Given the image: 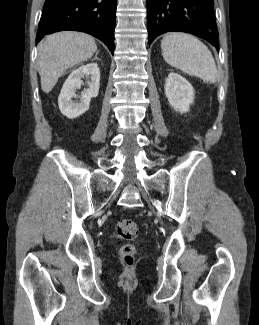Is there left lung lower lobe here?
Wrapping results in <instances>:
<instances>
[{"mask_svg":"<svg viewBox=\"0 0 259 325\" xmlns=\"http://www.w3.org/2000/svg\"><path fill=\"white\" fill-rule=\"evenodd\" d=\"M214 0H147L149 44L169 31L187 32L218 48Z\"/></svg>","mask_w":259,"mask_h":325,"instance_id":"1","label":"left lung lower lobe"}]
</instances>
